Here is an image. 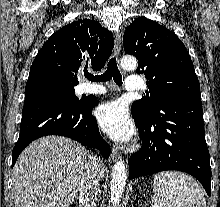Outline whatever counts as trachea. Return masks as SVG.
Instances as JSON below:
<instances>
[{
    "label": "trachea",
    "mask_w": 220,
    "mask_h": 207,
    "mask_svg": "<svg viewBox=\"0 0 220 207\" xmlns=\"http://www.w3.org/2000/svg\"><path fill=\"white\" fill-rule=\"evenodd\" d=\"M86 78L92 82H106L113 78L114 82L118 85H122V75L117 67L116 58L113 57L108 62V67L105 73L101 75H93L90 73L85 74Z\"/></svg>",
    "instance_id": "trachea-1"
}]
</instances>
